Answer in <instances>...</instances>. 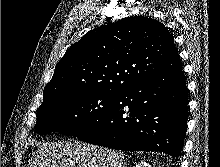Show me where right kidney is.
Returning a JSON list of instances; mask_svg holds the SVG:
<instances>
[{"label":"right kidney","mask_w":220,"mask_h":167,"mask_svg":"<svg viewBox=\"0 0 220 167\" xmlns=\"http://www.w3.org/2000/svg\"><path fill=\"white\" fill-rule=\"evenodd\" d=\"M135 167H151V166L146 162H141V163L137 164Z\"/></svg>","instance_id":"1"}]
</instances>
